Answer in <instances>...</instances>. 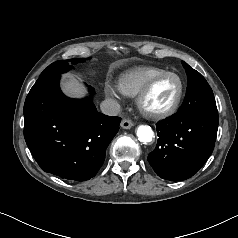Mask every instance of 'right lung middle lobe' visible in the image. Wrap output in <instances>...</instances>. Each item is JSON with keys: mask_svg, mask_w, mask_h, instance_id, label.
<instances>
[{"mask_svg": "<svg viewBox=\"0 0 238 238\" xmlns=\"http://www.w3.org/2000/svg\"><path fill=\"white\" fill-rule=\"evenodd\" d=\"M85 61L84 58L82 59H69V60H59L56 61L54 63H52L51 65H49L40 75L41 77H49V76H56V75H60L64 72H67L72 66L71 65H75L77 63H81ZM71 64V65H70Z\"/></svg>", "mask_w": 238, "mask_h": 238, "instance_id": "obj_1", "label": "right lung middle lobe"}]
</instances>
